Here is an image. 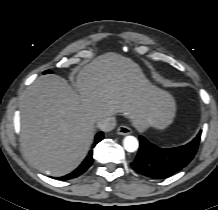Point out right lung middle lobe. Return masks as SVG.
<instances>
[{
    "mask_svg": "<svg viewBox=\"0 0 218 210\" xmlns=\"http://www.w3.org/2000/svg\"><path fill=\"white\" fill-rule=\"evenodd\" d=\"M47 73H52V71L47 70V71L44 72V74H47Z\"/></svg>",
    "mask_w": 218,
    "mask_h": 210,
    "instance_id": "obj_1",
    "label": "right lung middle lobe"
}]
</instances>
